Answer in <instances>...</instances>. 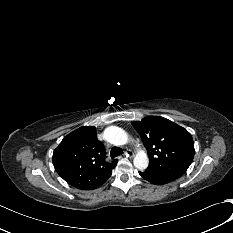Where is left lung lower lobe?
<instances>
[{"instance_id":"left-lung-lower-lobe-1","label":"left lung lower lobe","mask_w":233,"mask_h":233,"mask_svg":"<svg viewBox=\"0 0 233 233\" xmlns=\"http://www.w3.org/2000/svg\"><path fill=\"white\" fill-rule=\"evenodd\" d=\"M139 174L141 175V177H143L145 180L149 181L150 183L152 184H155V185H163V184H166L168 183L167 181L157 177V176H154L150 173H148L147 171H144V172H139Z\"/></svg>"}]
</instances>
